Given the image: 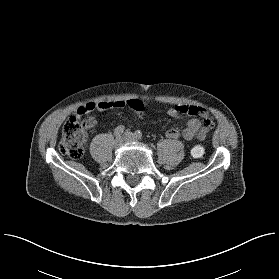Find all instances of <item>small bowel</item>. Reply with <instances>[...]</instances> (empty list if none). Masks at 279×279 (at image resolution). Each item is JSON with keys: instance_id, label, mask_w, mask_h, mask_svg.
<instances>
[{"instance_id": "small-bowel-1", "label": "small bowel", "mask_w": 279, "mask_h": 279, "mask_svg": "<svg viewBox=\"0 0 279 279\" xmlns=\"http://www.w3.org/2000/svg\"><path fill=\"white\" fill-rule=\"evenodd\" d=\"M124 105L125 103L123 101L87 103L79 107L76 110L75 115L79 117L94 109L105 111L111 108H121L124 107ZM167 114L174 119H178L182 115H193L199 117L202 120L201 121L197 118H191L190 120H188L186 127L182 132H180L176 128L168 129L166 131V136L169 139H178L180 137H183L185 140H192L194 138L204 140L207 137L209 131L214 126V120L209 114V112L206 109L199 106H172L167 109Z\"/></svg>"}]
</instances>
